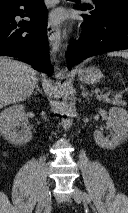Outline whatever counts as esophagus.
<instances>
[{
    "mask_svg": "<svg viewBox=\"0 0 128 213\" xmlns=\"http://www.w3.org/2000/svg\"><path fill=\"white\" fill-rule=\"evenodd\" d=\"M57 32H58L57 28L54 26L53 23L49 21L47 25V35L49 42L51 44H53L56 40H58Z\"/></svg>",
    "mask_w": 128,
    "mask_h": 213,
    "instance_id": "esophagus-1",
    "label": "esophagus"
}]
</instances>
